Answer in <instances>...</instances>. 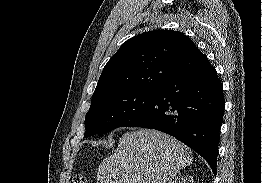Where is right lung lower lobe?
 <instances>
[{"mask_svg":"<svg viewBox=\"0 0 262 183\" xmlns=\"http://www.w3.org/2000/svg\"><path fill=\"white\" fill-rule=\"evenodd\" d=\"M225 101L221 81L208 62L161 85L151 103L125 127L156 129L200 154L216 175Z\"/></svg>","mask_w":262,"mask_h":183,"instance_id":"98d812e1","label":"right lung lower lobe"}]
</instances>
